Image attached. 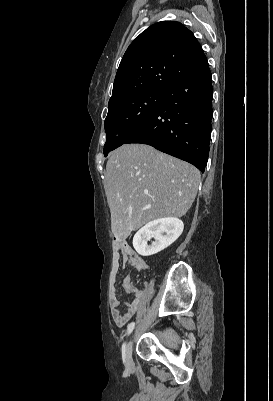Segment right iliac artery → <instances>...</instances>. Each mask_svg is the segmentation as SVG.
Returning a JSON list of instances; mask_svg holds the SVG:
<instances>
[{
	"label": "right iliac artery",
	"instance_id": "obj_1",
	"mask_svg": "<svg viewBox=\"0 0 273 401\" xmlns=\"http://www.w3.org/2000/svg\"><path fill=\"white\" fill-rule=\"evenodd\" d=\"M134 326H135V323H134V322L128 324V327H127V335H129V334L133 331ZM123 348L125 349V343L123 344ZM123 361L125 362L124 354H123Z\"/></svg>",
	"mask_w": 273,
	"mask_h": 401
}]
</instances>
